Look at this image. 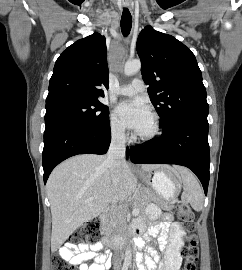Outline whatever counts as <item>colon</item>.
<instances>
[{
    "instance_id": "5ec220e1",
    "label": "colon",
    "mask_w": 242,
    "mask_h": 270,
    "mask_svg": "<svg viewBox=\"0 0 242 270\" xmlns=\"http://www.w3.org/2000/svg\"><path fill=\"white\" fill-rule=\"evenodd\" d=\"M175 215L183 223L186 235L181 254L184 258L183 270H196L195 263L198 259L199 250L197 246V236L194 231L192 208L185 203H180L175 207ZM102 223L99 220H90L73 232L68 244L80 245L88 241L96 240L101 236ZM53 270H77L76 266L69 263L61 253V249L52 258Z\"/></svg>"
}]
</instances>
